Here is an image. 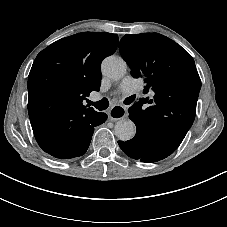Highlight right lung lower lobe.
<instances>
[{
    "label": "right lung lower lobe",
    "instance_id": "obj_1",
    "mask_svg": "<svg viewBox=\"0 0 227 227\" xmlns=\"http://www.w3.org/2000/svg\"><path fill=\"white\" fill-rule=\"evenodd\" d=\"M106 119L105 113L95 115L81 110L54 115L48 110L37 115L31 125L36 141L46 153L58 159H70L85 154L94 127Z\"/></svg>",
    "mask_w": 227,
    "mask_h": 227
}]
</instances>
